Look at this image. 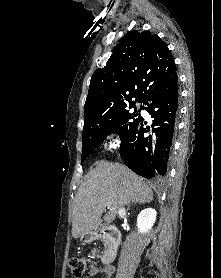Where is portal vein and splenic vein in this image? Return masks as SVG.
<instances>
[{"mask_svg": "<svg viewBox=\"0 0 221 278\" xmlns=\"http://www.w3.org/2000/svg\"><path fill=\"white\" fill-rule=\"evenodd\" d=\"M106 207L109 208V207H110V204H107Z\"/></svg>", "mask_w": 221, "mask_h": 278, "instance_id": "portal-vein-and-splenic-vein-1", "label": "portal vein and splenic vein"}]
</instances>
